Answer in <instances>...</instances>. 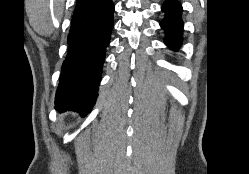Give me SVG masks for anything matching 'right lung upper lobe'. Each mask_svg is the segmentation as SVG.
Masks as SVG:
<instances>
[{
    "label": "right lung upper lobe",
    "instance_id": "obj_1",
    "mask_svg": "<svg viewBox=\"0 0 249 174\" xmlns=\"http://www.w3.org/2000/svg\"><path fill=\"white\" fill-rule=\"evenodd\" d=\"M93 1H95V0H77L76 7L84 6V5L91 3Z\"/></svg>",
    "mask_w": 249,
    "mask_h": 174
}]
</instances>
